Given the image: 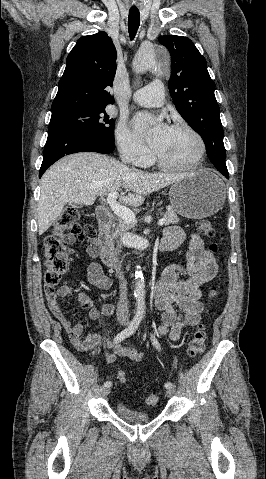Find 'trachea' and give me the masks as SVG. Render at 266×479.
I'll return each instance as SVG.
<instances>
[{
	"instance_id": "trachea-1",
	"label": "trachea",
	"mask_w": 266,
	"mask_h": 479,
	"mask_svg": "<svg viewBox=\"0 0 266 479\" xmlns=\"http://www.w3.org/2000/svg\"><path fill=\"white\" fill-rule=\"evenodd\" d=\"M140 25V13L137 9H130L128 16V30L130 39H134Z\"/></svg>"
}]
</instances>
